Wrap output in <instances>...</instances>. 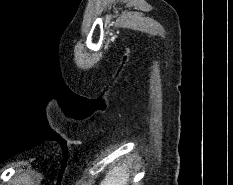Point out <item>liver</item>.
Listing matches in <instances>:
<instances>
[{"label": "liver", "mask_w": 233, "mask_h": 185, "mask_svg": "<svg viewBox=\"0 0 233 185\" xmlns=\"http://www.w3.org/2000/svg\"><path fill=\"white\" fill-rule=\"evenodd\" d=\"M129 181L127 166L124 164L122 167L115 166L109 170L100 185H129Z\"/></svg>", "instance_id": "1"}]
</instances>
